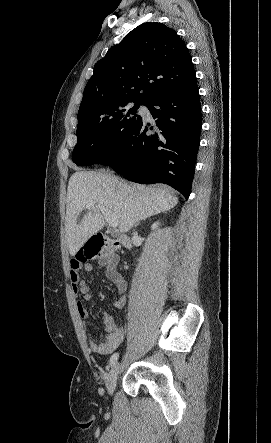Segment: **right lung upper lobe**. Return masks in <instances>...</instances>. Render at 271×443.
I'll return each mask as SVG.
<instances>
[{
    "label": "right lung upper lobe",
    "mask_w": 271,
    "mask_h": 443,
    "mask_svg": "<svg viewBox=\"0 0 271 443\" xmlns=\"http://www.w3.org/2000/svg\"><path fill=\"white\" fill-rule=\"evenodd\" d=\"M195 79L191 56L176 32L161 23H144L95 64L78 118L102 117L132 102L147 104Z\"/></svg>",
    "instance_id": "1"
}]
</instances>
